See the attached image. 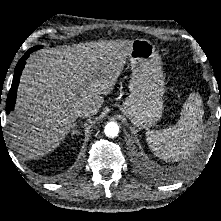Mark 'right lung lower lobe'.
Segmentation results:
<instances>
[{
	"label": "right lung lower lobe",
	"instance_id": "98d812e1",
	"mask_svg": "<svg viewBox=\"0 0 221 221\" xmlns=\"http://www.w3.org/2000/svg\"><path fill=\"white\" fill-rule=\"evenodd\" d=\"M41 46H35L30 48L24 55L23 57L19 60V62L16 65L15 68V74L13 77V82H12V86L11 89L9 91L8 97H7V101H6V110L7 113H9L15 105V101H16V93H17V88H18V83H19V79L22 73V70L26 64L25 60L28 58V56L33 52L36 51L38 49H40Z\"/></svg>",
	"mask_w": 221,
	"mask_h": 221
}]
</instances>
